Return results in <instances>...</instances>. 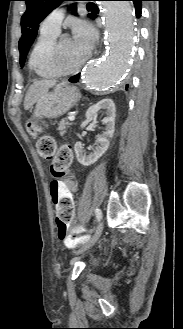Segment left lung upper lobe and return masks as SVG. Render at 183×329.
<instances>
[{"mask_svg":"<svg viewBox=\"0 0 183 329\" xmlns=\"http://www.w3.org/2000/svg\"><path fill=\"white\" fill-rule=\"evenodd\" d=\"M26 2L27 9L21 18L22 37L19 41L20 64L24 66L26 55L31 47L39 23L61 2L68 0H23ZM71 10L76 12L75 4H72ZM92 18L93 14H88Z\"/></svg>","mask_w":183,"mask_h":329,"instance_id":"1","label":"left lung upper lobe"}]
</instances>
